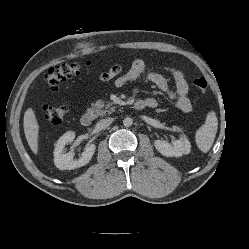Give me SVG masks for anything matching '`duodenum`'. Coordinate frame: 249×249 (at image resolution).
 <instances>
[{"label":"duodenum","mask_w":249,"mask_h":249,"mask_svg":"<svg viewBox=\"0 0 249 249\" xmlns=\"http://www.w3.org/2000/svg\"><path fill=\"white\" fill-rule=\"evenodd\" d=\"M134 108L137 110H142V109L146 108V103L143 100H137L134 103ZM92 119H93L92 114L89 112H86L81 116L80 123L82 126L87 127L92 123Z\"/></svg>","instance_id":"obj_1"}]
</instances>
